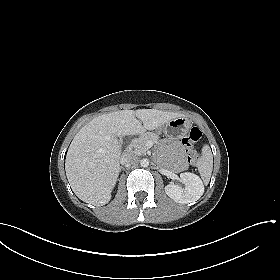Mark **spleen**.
<instances>
[{
    "label": "spleen",
    "instance_id": "spleen-1",
    "mask_svg": "<svg viewBox=\"0 0 280 280\" xmlns=\"http://www.w3.org/2000/svg\"><path fill=\"white\" fill-rule=\"evenodd\" d=\"M197 168L205 184H208L213 169V156L209 145H204L202 155L197 161Z\"/></svg>",
    "mask_w": 280,
    "mask_h": 280
}]
</instances>
